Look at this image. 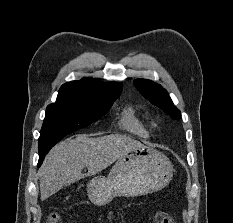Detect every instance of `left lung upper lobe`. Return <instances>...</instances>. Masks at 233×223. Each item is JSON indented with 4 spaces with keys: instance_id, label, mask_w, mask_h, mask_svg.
I'll use <instances>...</instances> for the list:
<instances>
[{
    "instance_id": "obj_1",
    "label": "left lung upper lobe",
    "mask_w": 233,
    "mask_h": 223,
    "mask_svg": "<svg viewBox=\"0 0 233 223\" xmlns=\"http://www.w3.org/2000/svg\"><path fill=\"white\" fill-rule=\"evenodd\" d=\"M134 85L137 90L152 104L162 109L173 119H180V111L173 105V102L167 91L160 85L144 79L135 80Z\"/></svg>"
}]
</instances>
